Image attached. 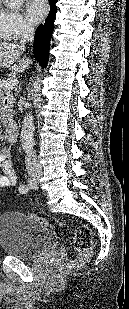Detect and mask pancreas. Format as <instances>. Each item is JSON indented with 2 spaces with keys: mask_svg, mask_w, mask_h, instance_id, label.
<instances>
[{
  "mask_svg": "<svg viewBox=\"0 0 129 309\" xmlns=\"http://www.w3.org/2000/svg\"><path fill=\"white\" fill-rule=\"evenodd\" d=\"M5 80H0V96L3 94H10L11 89L5 87ZM13 112L11 109L3 110L0 109V121L3 125H6L8 121L12 120Z\"/></svg>",
  "mask_w": 129,
  "mask_h": 309,
  "instance_id": "pancreas-1",
  "label": "pancreas"
}]
</instances>
